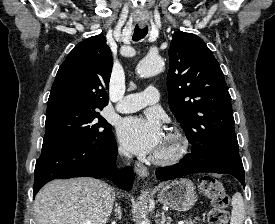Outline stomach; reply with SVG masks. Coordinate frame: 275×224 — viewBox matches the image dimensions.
<instances>
[{
  "label": "stomach",
  "mask_w": 275,
  "mask_h": 224,
  "mask_svg": "<svg viewBox=\"0 0 275 224\" xmlns=\"http://www.w3.org/2000/svg\"><path fill=\"white\" fill-rule=\"evenodd\" d=\"M158 200L173 210L188 211L197 201L194 183L186 178L171 181L161 187Z\"/></svg>",
  "instance_id": "stomach-1"
}]
</instances>
